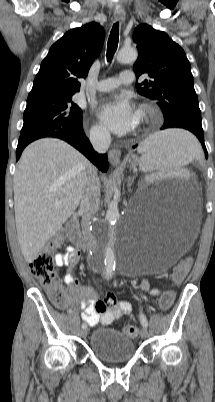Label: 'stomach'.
<instances>
[{"instance_id": "1", "label": "stomach", "mask_w": 215, "mask_h": 402, "mask_svg": "<svg viewBox=\"0 0 215 402\" xmlns=\"http://www.w3.org/2000/svg\"><path fill=\"white\" fill-rule=\"evenodd\" d=\"M129 162H130V166H131V167H135V166H136V162H137V161H136L135 159H130Z\"/></svg>"}]
</instances>
